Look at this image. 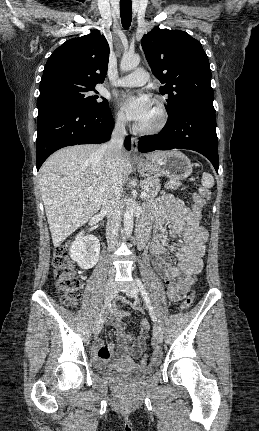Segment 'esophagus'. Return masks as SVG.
Segmentation results:
<instances>
[{"mask_svg":"<svg viewBox=\"0 0 259 431\" xmlns=\"http://www.w3.org/2000/svg\"><path fill=\"white\" fill-rule=\"evenodd\" d=\"M138 140L136 137L131 138V153L134 158H139L138 150Z\"/></svg>","mask_w":259,"mask_h":431,"instance_id":"1","label":"esophagus"}]
</instances>
